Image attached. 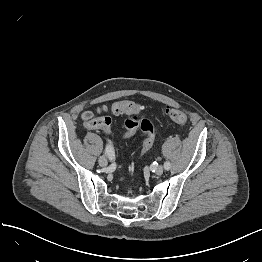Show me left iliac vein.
I'll list each match as a JSON object with an SVG mask.
<instances>
[{
    "label": "left iliac vein",
    "instance_id": "1",
    "mask_svg": "<svg viewBox=\"0 0 262 262\" xmlns=\"http://www.w3.org/2000/svg\"><path fill=\"white\" fill-rule=\"evenodd\" d=\"M154 172L157 174V175H162L163 172H164V168L163 166H157L154 168Z\"/></svg>",
    "mask_w": 262,
    "mask_h": 262
}]
</instances>
